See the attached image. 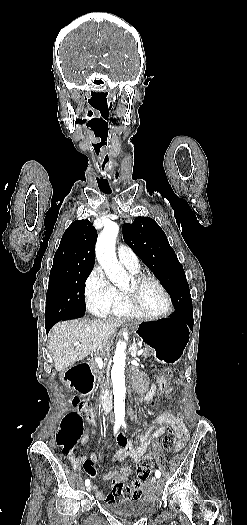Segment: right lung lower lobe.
I'll list each match as a JSON object with an SVG mask.
<instances>
[{
    "instance_id": "obj_1",
    "label": "right lung lower lobe",
    "mask_w": 247,
    "mask_h": 525,
    "mask_svg": "<svg viewBox=\"0 0 247 525\" xmlns=\"http://www.w3.org/2000/svg\"><path fill=\"white\" fill-rule=\"evenodd\" d=\"M45 327H46V331H47V332H48V331H49V329L51 328V327H48V326H45Z\"/></svg>"
}]
</instances>
